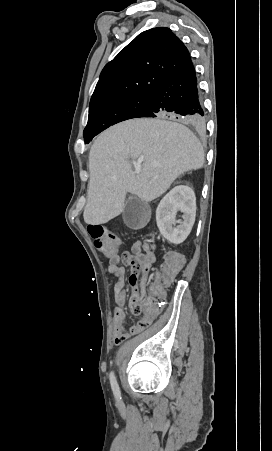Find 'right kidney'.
<instances>
[{
	"instance_id": "ca27d5eb",
	"label": "right kidney",
	"mask_w": 272,
	"mask_h": 451,
	"mask_svg": "<svg viewBox=\"0 0 272 451\" xmlns=\"http://www.w3.org/2000/svg\"><path fill=\"white\" fill-rule=\"evenodd\" d=\"M177 212H182L183 220H176ZM195 216L196 198L189 186H176L170 190L156 210V222L160 233L171 243H182L186 239L195 222Z\"/></svg>"
}]
</instances>
